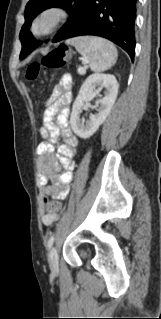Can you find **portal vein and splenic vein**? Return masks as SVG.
Returning a JSON list of instances; mask_svg holds the SVG:
<instances>
[{
    "label": "portal vein and splenic vein",
    "mask_w": 161,
    "mask_h": 319,
    "mask_svg": "<svg viewBox=\"0 0 161 319\" xmlns=\"http://www.w3.org/2000/svg\"><path fill=\"white\" fill-rule=\"evenodd\" d=\"M85 72H86V71H85L84 68H79V69H78V73H79V74H85Z\"/></svg>",
    "instance_id": "obj_1"
}]
</instances>
